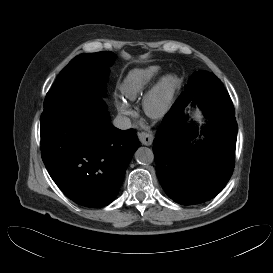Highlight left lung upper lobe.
<instances>
[{
	"label": "left lung upper lobe",
	"mask_w": 273,
	"mask_h": 273,
	"mask_svg": "<svg viewBox=\"0 0 273 273\" xmlns=\"http://www.w3.org/2000/svg\"><path fill=\"white\" fill-rule=\"evenodd\" d=\"M212 73H209L207 71H198L195 72L188 80V84L185 86V92H183L180 97H185L189 94H193L197 88L204 82L203 79H205L208 75ZM214 75V74H212Z\"/></svg>",
	"instance_id": "1"
}]
</instances>
